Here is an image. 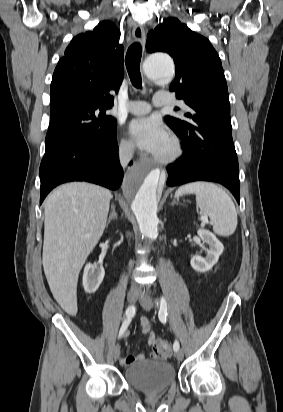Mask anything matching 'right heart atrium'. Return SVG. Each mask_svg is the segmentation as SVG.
<instances>
[{"instance_id":"d8ad5b80","label":"right heart atrium","mask_w":283,"mask_h":412,"mask_svg":"<svg viewBox=\"0 0 283 412\" xmlns=\"http://www.w3.org/2000/svg\"><path fill=\"white\" fill-rule=\"evenodd\" d=\"M118 151L121 157L128 159L132 157L135 146L130 140L122 138L118 144Z\"/></svg>"}]
</instances>
